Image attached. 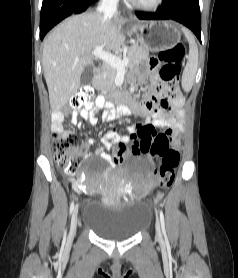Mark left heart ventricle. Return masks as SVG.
I'll use <instances>...</instances> for the list:
<instances>
[{"label": "left heart ventricle", "instance_id": "1", "mask_svg": "<svg viewBox=\"0 0 238 278\" xmlns=\"http://www.w3.org/2000/svg\"><path fill=\"white\" fill-rule=\"evenodd\" d=\"M137 1L142 2V3H151L154 0H137Z\"/></svg>", "mask_w": 238, "mask_h": 278}]
</instances>
